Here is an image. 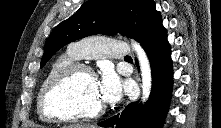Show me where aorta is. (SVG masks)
<instances>
[{"label": "aorta", "mask_w": 221, "mask_h": 128, "mask_svg": "<svg viewBox=\"0 0 221 128\" xmlns=\"http://www.w3.org/2000/svg\"><path fill=\"white\" fill-rule=\"evenodd\" d=\"M132 47L136 52L142 76V102H146L149 98L152 88V75L148 57L139 43L132 41Z\"/></svg>", "instance_id": "obj_1"}]
</instances>
